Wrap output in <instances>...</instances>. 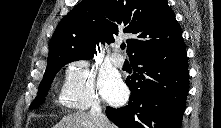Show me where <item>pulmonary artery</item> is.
<instances>
[{
  "instance_id": "obj_1",
  "label": "pulmonary artery",
  "mask_w": 221,
  "mask_h": 128,
  "mask_svg": "<svg viewBox=\"0 0 221 128\" xmlns=\"http://www.w3.org/2000/svg\"><path fill=\"white\" fill-rule=\"evenodd\" d=\"M111 63L116 67H122L124 65V58L117 50L116 52L112 53L110 56Z\"/></svg>"
}]
</instances>
